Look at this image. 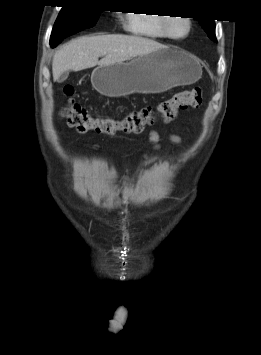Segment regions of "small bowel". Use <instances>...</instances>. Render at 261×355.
Here are the masks:
<instances>
[{
    "mask_svg": "<svg viewBox=\"0 0 261 355\" xmlns=\"http://www.w3.org/2000/svg\"><path fill=\"white\" fill-rule=\"evenodd\" d=\"M168 137L175 144H180L182 141L181 136L176 133H169ZM148 140L154 148H159L160 134L157 131L151 130L148 134ZM145 158H147V155H145Z\"/></svg>",
    "mask_w": 261,
    "mask_h": 355,
    "instance_id": "obj_1",
    "label": "small bowel"
}]
</instances>
